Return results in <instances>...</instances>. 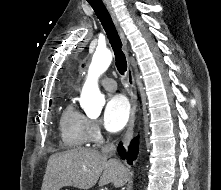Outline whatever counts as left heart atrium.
Wrapping results in <instances>:
<instances>
[{
  "mask_svg": "<svg viewBox=\"0 0 221 190\" xmlns=\"http://www.w3.org/2000/svg\"><path fill=\"white\" fill-rule=\"evenodd\" d=\"M130 106L127 99L122 95L110 97L105 105L103 124L108 131L117 132L128 122Z\"/></svg>",
  "mask_w": 221,
  "mask_h": 190,
  "instance_id": "39dd6f15",
  "label": "left heart atrium"
}]
</instances>
